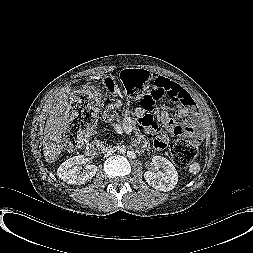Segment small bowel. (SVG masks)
<instances>
[{
	"instance_id": "1",
	"label": "small bowel",
	"mask_w": 253,
	"mask_h": 253,
	"mask_svg": "<svg viewBox=\"0 0 253 253\" xmlns=\"http://www.w3.org/2000/svg\"><path fill=\"white\" fill-rule=\"evenodd\" d=\"M177 86L180 90L179 97L185 103L176 106L175 115L167 111H161L157 119H154L151 115L145 114L140 108H136L133 112L138 118L140 132L145 136L153 137L154 146L159 150L163 149L167 142V137L161 131V126L174 134L192 135V126L190 124H179L178 120L189 117L196 121L199 118L198 112L192 106L190 95L181 86ZM115 111V107L110 106L104 113V120L106 122L112 121Z\"/></svg>"
}]
</instances>
